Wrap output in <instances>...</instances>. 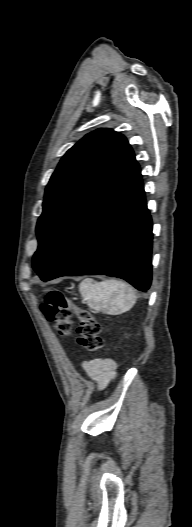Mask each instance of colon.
Returning <instances> with one entry per match:
<instances>
[{
  "mask_svg": "<svg viewBox=\"0 0 192 527\" xmlns=\"http://www.w3.org/2000/svg\"><path fill=\"white\" fill-rule=\"evenodd\" d=\"M41 310L48 322L63 337H69L72 334V316L75 314L78 319L77 333L79 345L90 352L98 351L103 347L99 322L89 311L74 305L60 291H50L45 297Z\"/></svg>",
  "mask_w": 192,
  "mask_h": 527,
  "instance_id": "colon-1",
  "label": "colon"
}]
</instances>
